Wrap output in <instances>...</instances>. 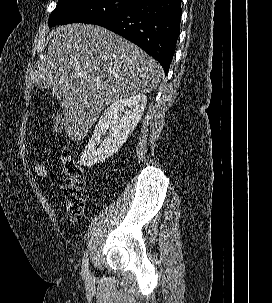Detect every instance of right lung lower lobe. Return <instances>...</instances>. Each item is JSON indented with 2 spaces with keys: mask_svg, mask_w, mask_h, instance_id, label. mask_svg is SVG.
Listing matches in <instances>:
<instances>
[{
  "mask_svg": "<svg viewBox=\"0 0 272 303\" xmlns=\"http://www.w3.org/2000/svg\"><path fill=\"white\" fill-rule=\"evenodd\" d=\"M181 0H141L133 7L96 20L138 45L168 73L180 33Z\"/></svg>",
  "mask_w": 272,
  "mask_h": 303,
  "instance_id": "right-lung-lower-lobe-1",
  "label": "right lung lower lobe"
}]
</instances>
